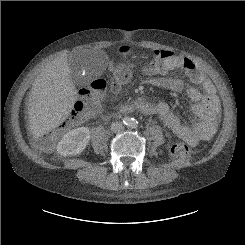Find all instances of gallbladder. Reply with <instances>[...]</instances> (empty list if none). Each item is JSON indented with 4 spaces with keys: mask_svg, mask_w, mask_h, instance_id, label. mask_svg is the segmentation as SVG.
I'll use <instances>...</instances> for the list:
<instances>
[{
    "mask_svg": "<svg viewBox=\"0 0 245 245\" xmlns=\"http://www.w3.org/2000/svg\"><path fill=\"white\" fill-rule=\"evenodd\" d=\"M69 67L71 69V75H72V79H73L74 83L77 85L82 84L85 81V79L80 77V71H81V69H80V67H81L80 58L78 56H71L69 58Z\"/></svg>",
    "mask_w": 245,
    "mask_h": 245,
    "instance_id": "gallbladder-1",
    "label": "gallbladder"
}]
</instances>
